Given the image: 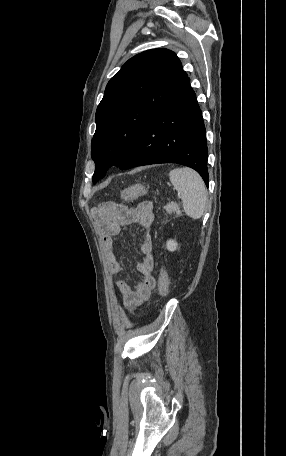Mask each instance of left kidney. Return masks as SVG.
<instances>
[{"label": "left kidney", "instance_id": "obj_1", "mask_svg": "<svg viewBox=\"0 0 286 456\" xmlns=\"http://www.w3.org/2000/svg\"><path fill=\"white\" fill-rule=\"evenodd\" d=\"M167 249L171 252L175 251L178 247V244L175 240H168L166 243Z\"/></svg>", "mask_w": 286, "mask_h": 456}]
</instances>
